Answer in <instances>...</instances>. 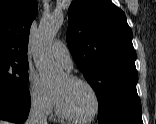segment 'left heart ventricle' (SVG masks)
<instances>
[{
    "mask_svg": "<svg viewBox=\"0 0 156 124\" xmlns=\"http://www.w3.org/2000/svg\"><path fill=\"white\" fill-rule=\"evenodd\" d=\"M64 108L73 116L86 117L95 109V98L84 85L73 83L62 77L53 87Z\"/></svg>",
    "mask_w": 156,
    "mask_h": 124,
    "instance_id": "obj_1",
    "label": "left heart ventricle"
}]
</instances>
